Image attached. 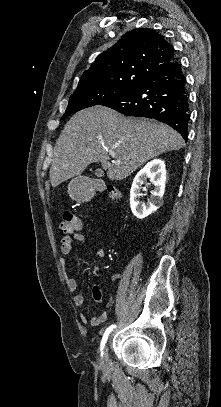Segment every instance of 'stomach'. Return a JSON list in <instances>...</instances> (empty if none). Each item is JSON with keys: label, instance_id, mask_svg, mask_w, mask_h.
Returning <instances> with one entry per match:
<instances>
[{"label": "stomach", "instance_id": "obj_1", "mask_svg": "<svg viewBox=\"0 0 221 407\" xmlns=\"http://www.w3.org/2000/svg\"><path fill=\"white\" fill-rule=\"evenodd\" d=\"M68 193L75 201H87L90 197L88 188L80 177H76L70 181Z\"/></svg>", "mask_w": 221, "mask_h": 407}]
</instances>
